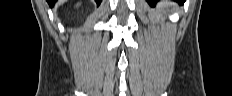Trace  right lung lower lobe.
<instances>
[{
    "instance_id": "right-lung-lower-lobe-1",
    "label": "right lung lower lobe",
    "mask_w": 232,
    "mask_h": 96,
    "mask_svg": "<svg viewBox=\"0 0 232 96\" xmlns=\"http://www.w3.org/2000/svg\"><path fill=\"white\" fill-rule=\"evenodd\" d=\"M58 1V0H47V2L49 3L50 7H53L55 2ZM97 5H100L101 1L102 0H95Z\"/></svg>"
}]
</instances>
